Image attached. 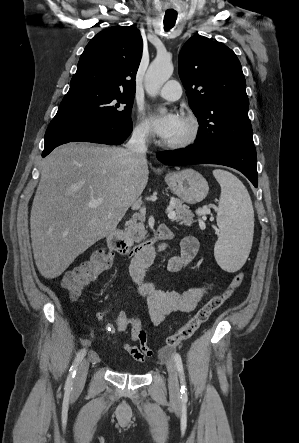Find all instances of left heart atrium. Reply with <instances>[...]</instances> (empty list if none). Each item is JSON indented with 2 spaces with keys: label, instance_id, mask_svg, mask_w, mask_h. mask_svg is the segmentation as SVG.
Returning <instances> with one entry per match:
<instances>
[{
  "label": "left heart atrium",
  "instance_id": "1",
  "mask_svg": "<svg viewBox=\"0 0 299 443\" xmlns=\"http://www.w3.org/2000/svg\"><path fill=\"white\" fill-rule=\"evenodd\" d=\"M148 119L153 132L164 140L175 133L181 122L180 116L173 111H153L149 114Z\"/></svg>",
  "mask_w": 299,
  "mask_h": 443
}]
</instances>
